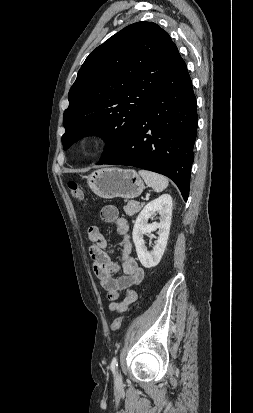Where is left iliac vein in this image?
Listing matches in <instances>:
<instances>
[{
	"mask_svg": "<svg viewBox=\"0 0 253 413\" xmlns=\"http://www.w3.org/2000/svg\"><path fill=\"white\" fill-rule=\"evenodd\" d=\"M117 379H119V374L116 375Z\"/></svg>",
	"mask_w": 253,
	"mask_h": 413,
	"instance_id": "left-iliac-vein-1",
	"label": "left iliac vein"
}]
</instances>
